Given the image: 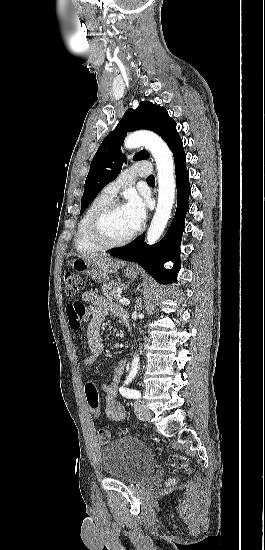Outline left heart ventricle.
<instances>
[{"mask_svg":"<svg viewBox=\"0 0 265 550\" xmlns=\"http://www.w3.org/2000/svg\"><path fill=\"white\" fill-rule=\"evenodd\" d=\"M104 230L107 237L111 240L122 239L134 231L124 207L114 210L106 218Z\"/></svg>","mask_w":265,"mask_h":550,"instance_id":"obj_1","label":"left heart ventricle"}]
</instances>
